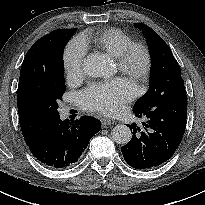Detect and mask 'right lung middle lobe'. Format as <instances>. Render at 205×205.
<instances>
[{"instance_id":"1","label":"right lung middle lobe","mask_w":205,"mask_h":205,"mask_svg":"<svg viewBox=\"0 0 205 205\" xmlns=\"http://www.w3.org/2000/svg\"><path fill=\"white\" fill-rule=\"evenodd\" d=\"M76 30L63 33L59 37L49 54L45 67L30 89L32 103L44 117L50 120L59 116L57 102L66 90L63 49Z\"/></svg>"}]
</instances>
